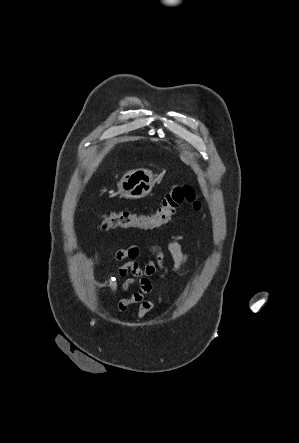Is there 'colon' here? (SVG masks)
I'll use <instances>...</instances> for the list:
<instances>
[{"instance_id":"1","label":"colon","mask_w":299,"mask_h":443,"mask_svg":"<svg viewBox=\"0 0 299 443\" xmlns=\"http://www.w3.org/2000/svg\"><path fill=\"white\" fill-rule=\"evenodd\" d=\"M183 204H190L195 210L200 209V202L194 189L190 185L176 184L165 193L155 211L149 213L130 210L110 212L103 215L99 229L103 231L116 228L157 229L170 223L178 208Z\"/></svg>"}]
</instances>
